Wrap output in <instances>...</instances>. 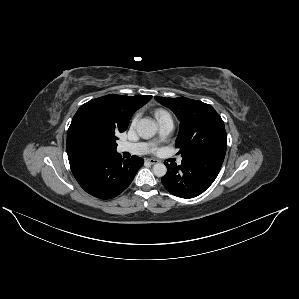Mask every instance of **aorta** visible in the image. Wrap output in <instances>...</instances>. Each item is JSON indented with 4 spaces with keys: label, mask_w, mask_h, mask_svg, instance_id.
Wrapping results in <instances>:
<instances>
[{
    "label": "aorta",
    "mask_w": 299,
    "mask_h": 299,
    "mask_svg": "<svg viewBox=\"0 0 299 299\" xmlns=\"http://www.w3.org/2000/svg\"><path fill=\"white\" fill-rule=\"evenodd\" d=\"M137 132L142 138H150L156 134L157 125L153 120L149 118H142L137 123ZM166 172L167 168L163 163H156L153 166V173L157 177L165 176Z\"/></svg>",
    "instance_id": "obj_1"
}]
</instances>
